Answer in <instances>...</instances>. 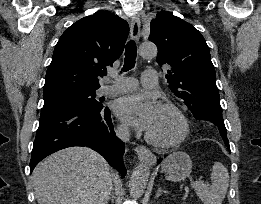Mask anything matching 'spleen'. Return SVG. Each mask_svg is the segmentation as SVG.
Here are the masks:
<instances>
[{
	"mask_svg": "<svg viewBox=\"0 0 261 204\" xmlns=\"http://www.w3.org/2000/svg\"><path fill=\"white\" fill-rule=\"evenodd\" d=\"M212 185L199 184L195 192L204 204H222L229 186V173L221 162H215L211 173Z\"/></svg>",
	"mask_w": 261,
	"mask_h": 204,
	"instance_id": "1",
	"label": "spleen"
}]
</instances>
